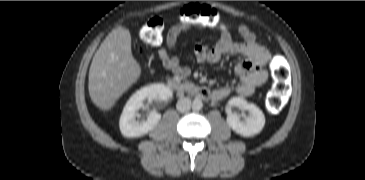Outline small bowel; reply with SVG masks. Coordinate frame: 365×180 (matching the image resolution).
<instances>
[{
    "mask_svg": "<svg viewBox=\"0 0 365 180\" xmlns=\"http://www.w3.org/2000/svg\"><path fill=\"white\" fill-rule=\"evenodd\" d=\"M184 24L172 25L166 33L164 44L157 49L162 65L181 77L191 74L189 67L180 63L179 59L171 54L179 36L188 30ZM238 32L242 38L241 43L233 42L227 26L223 25L219 40L212 44H199L193 49V56L198 62H218L227 57L237 59L233 72L239 79L235 92L243 97L251 96L257 87L263 85L268 79L266 68L271 59L270 52L256 40L255 34L247 25H241ZM231 89L226 86L217 88L213 93L214 100H222L228 96Z\"/></svg>",
    "mask_w": 365,
    "mask_h": 180,
    "instance_id": "small-bowel-1",
    "label": "small bowel"
}]
</instances>
